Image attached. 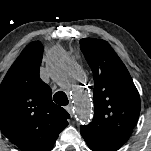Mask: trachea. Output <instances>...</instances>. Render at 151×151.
<instances>
[{"label": "trachea", "mask_w": 151, "mask_h": 151, "mask_svg": "<svg viewBox=\"0 0 151 151\" xmlns=\"http://www.w3.org/2000/svg\"><path fill=\"white\" fill-rule=\"evenodd\" d=\"M53 100L55 103L61 106H66L69 102L67 95L62 91L56 92L53 96Z\"/></svg>", "instance_id": "obj_1"}]
</instances>
